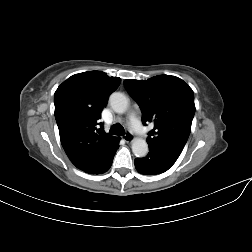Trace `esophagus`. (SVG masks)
<instances>
[{"instance_id":"obj_1","label":"esophagus","mask_w":252,"mask_h":252,"mask_svg":"<svg viewBox=\"0 0 252 252\" xmlns=\"http://www.w3.org/2000/svg\"><path fill=\"white\" fill-rule=\"evenodd\" d=\"M124 140L128 143L132 142L134 140V136L131 133H126L124 135Z\"/></svg>"}]
</instances>
